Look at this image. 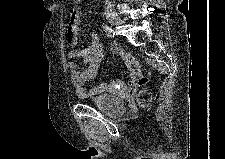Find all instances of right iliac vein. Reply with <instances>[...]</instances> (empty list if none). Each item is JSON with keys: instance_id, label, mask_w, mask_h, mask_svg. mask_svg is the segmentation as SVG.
Wrapping results in <instances>:
<instances>
[{"instance_id": "63e3f726", "label": "right iliac vein", "mask_w": 225, "mask_h": 159, "mask_svg": "<svg viewBox=\"0 0 225 159\" xmlns=\"http://www.w3.org/2000/svg\"><path fill=\"white\" fill-rule=\"evenodd\" d=\"M105 16L110 24H112L114 26L122 25V21H121L120 17L113 9L107 10Z\"/></svg>"}]
</instances>
